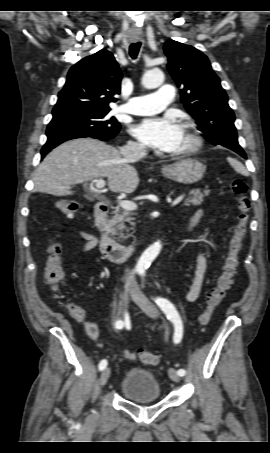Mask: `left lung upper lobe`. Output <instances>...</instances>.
<instances>
[{"instance_id": "5c2ea615", "label": "left lung upper lobe", "mask_w": 270, "mask_h": 453, "mask_svg": "<svg viewBox=\"0 0 270 453\" xmlns=\"http://www.w3.org/2000/svg\"><path fill=\"white\" fill-rule=\"evenodd\" d=\"M168 70L177 86L186 110L197 120L198 129L213 145L240 146L235 116L228 97L208 58L196 48L168 40L164 44Z\"/></svg>"}]
</instances>
